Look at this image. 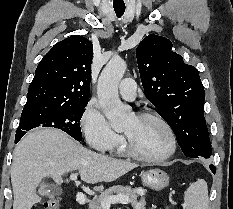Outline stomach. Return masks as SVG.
<instances>
[{
  "label": "stomach",
  "mask_w": 233,
  "mask_h": 209,
  "mask_svg": "<svg viewBox=\"0 0 233 209\" xmlns=\"http://www.w3.org/2000/svg\"><path fill=\"white\" fill-rule=\"evenodd\" d=\"M142 183L152 190H162L169 184V176L161 169H149L142 172Z\"/></svg>",
  "instance_id": "obj_1"
}]
</instances>
